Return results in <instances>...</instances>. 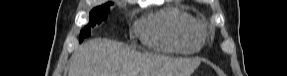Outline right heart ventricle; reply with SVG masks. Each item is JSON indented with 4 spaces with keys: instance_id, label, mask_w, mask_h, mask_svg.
<instances>
[{
    "instance_id": "1",
    "label": "right heart ventricle",
    "mask_w": 287,
    "mask_h": 76,
    "mask_svg": "<svg viewBox=\"0 0 287 76\" xmlns=\"http://www.w3.org/2000/svg\"><path fill=\"white\" fill-rule=\"evenodd\" d=\"M138 34L150 47L186 53L199 50L205 39L200 23L178 6H168L141 24Z\"/></svg>"
}]
</instances>
